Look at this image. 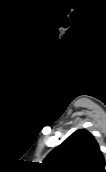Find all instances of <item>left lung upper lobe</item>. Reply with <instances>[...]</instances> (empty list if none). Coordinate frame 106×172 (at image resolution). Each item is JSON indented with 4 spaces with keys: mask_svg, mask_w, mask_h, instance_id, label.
<instances>
[{
    "mask_svg": "<svg viewBox=\"0 0 106 172\" xmlns=\"http://www.w3.org/2000/svg\"><path fill=\"white\" fill-rule=\"evenodd\" d=\"M46 172H105V162L94 136L79 129L44 159Z\"/></svg>",
    "mask_w": 106,
    "mask_h": 172,
    "instance_id": "1",
    "label": "left lung upper lobe"
}]
</instances>
